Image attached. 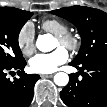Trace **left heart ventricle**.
<instances>
[{"instance_id": "b2bd125f", "label": "left heart ventricle", "mask_w": 107, "mask_h": 107, "mask_svg": "<svg viewBox=\"0 0 107 107\" xmlns=\"http://www.w3.org/2000/svg\"><path fill=\"white\" fill-rule=\"evenodd\" d=\"M59 47H60V45H59L58 41L56 40V41H55L54 48H56V49H57V48H59Z\"/></svg>"}]
</instances>
